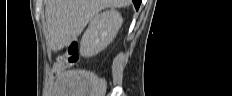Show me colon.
<instances>
[{
	"mask_svg": "<svg viewBox=\"0 0 232 96\" xmlns=\"http://www.w3.org/2000/svg\"><path fill=\"white\" fill-rule=\"evenodd\" d=\"M79 60L78 45L76 42L71 43L66 51L58 56L56 66L58 68L73 66Z\"/></svg>",
	"mask_w": 232,
	"mask_h": 96,
	"instance_id": "1",
	"label": "colon"
}]
</instances>
